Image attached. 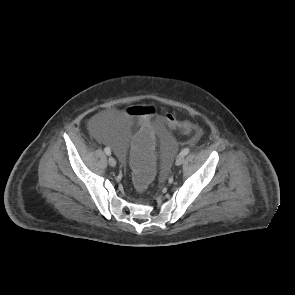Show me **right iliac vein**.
<instances>
[{"instance_id": "right-iliac-vein-1", "label": "right iliac vein", "mask_w": 295, "mask_h": 295, "mask_svg": "<svg viewBox=\"0 0 295 295\" xmlns=\"http://www.w3.org/2000/svg\"><path fill=\"white\" fill-rule=\"evenodd\" d=\"M108 163L111 167H115L116 166V160L110 156L109 159H108Z\"/></svg>"}]
</instances>
